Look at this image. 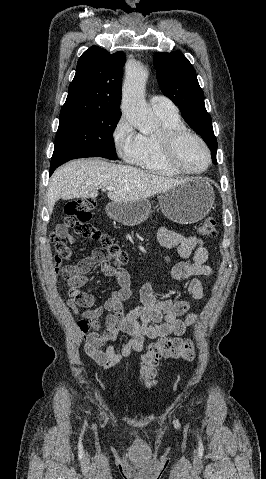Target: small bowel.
I'll use <instances>...</instances> for the list:
<instances>
[{"instance_id": "obj_1", "label": "small bowel", "mask_w": 266, "mask_h": 479, "mask_svg": "<svg viewBox=\"0 0 266 479\" xmlns=\"http://www.w3.org/2000/svg\"><path fill=\"white\" fill-rule=\"evenodd\" d=\"M63 237L71 244L76 242L75 237L68 232ZM158 240L164 247L178 248L183 261L174 265L172 278L187 281L186 292L193 300H200L204 293L203 285L194 277L210 278L213 275L212 268L206 264L208 250L203 241L165 227L158 230ZM62 260L63 258L56 257L61 276L69 286L67 305L80 315L77 325L83 335L84 350L89 358L104 368L115 367L123 358L141 351L146 338L160 340L169 335L181 336L187 327L197 321V315L191 311L190 301L160 299L151 283H145L140 289L141 306L125 313L123 302L131 295L129 275L124 269L114 267L99 250H95L77 265L60 266ZM95 265L100 266L105 276L115 279L118 288L100 304L93 306L94 301L82 292V287L87 283V273ZM72 289L75 294L70 293ZM80 307L87 309L79 313ZM104 312L107 314L102 323L100 317ZM119 333L129 335L130 339L121 352H116L113 343Z\"/></svg>"}]
</instances>
